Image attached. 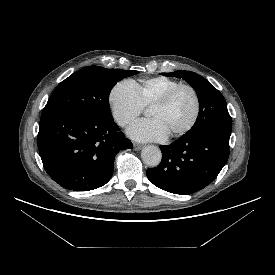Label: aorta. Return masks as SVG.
I'll return each mask as SVG.
<instances>
[{"label":"aorta","instance_id":"aorta-1","mask_svg":"<svg viewBox=\"0 0 275 275\" xmlns=\"http://www.w3.org/2000/svg\"><path fill=\"white\" fill-rule=\"evenodd\" d=\"M141 157L146 165L156 167L161 162L162 154L158 147L148 145L142 149Z\"/></svg>","mask_w":275,"mask_h":275}]
</instances>
